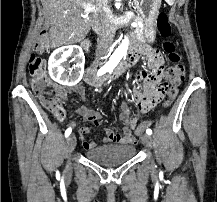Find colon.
<instances>
[{
	"instance_id": "5ec220e1",
	"label": "colon",
	"mask_w": 217,
	"mask_h": 202,
	"mask_svg": "<svg viewBox=\"0 0 217 202\" xmlns=\"http://www.w3.org/2000/svg\"><path fill=\"white\" fill-rule=\"evenodd\" d=\"M157 28L159 35L163 39L162 49L167 59L171 63L170 66L158 71V74H165L167 77L165 82H169L171 89L168 91L165 106H169L177 97L179 84L183 79L187 78L186 67L182 62V57L177 51L175 44L169 40L172 27L168 20L167 13L164 11L159 12L157 16ZM39 46H50L52 36H37ZM42 49H35V53L31 54L29 59L28 71L31 78L32 88L40 98V103L50 108V111H61L63 103L67 102L65 93H56L57 86L56 80H47L49 74L46 73V68H51V63H46V59H41L36 54H42ZM162 96H142L140 102H158ZM151 121H145L143 124L139 123L134 131V138H140L145 130L150 127Z\"/></svg>"
}]
</instances>
